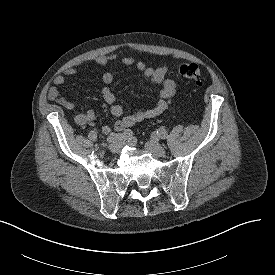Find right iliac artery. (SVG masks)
<instances>
[{
	"mask_svg": "<svg viewBox=\"0 0 275 275\" xmlns=\"http://www.w3.org/2000/svg\"><path fill=\"white\" fill-rule=\"evenodd\" d=\"M132 131L131 130H125L123 133L120 134H111L110 136H108L107 138V142L109 143H116L118 141H122V140H129L132 137ZM88 137L90 140L92 141H96L97 140V133L95 131H90V133L88 134Z\"/></svg>",
	"mask_w": 275,
	"mask_h": 275,
	"instance_id": "right-iliac-artery-1",
	"label": "right iliac artery"
}]
</instances>
